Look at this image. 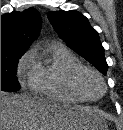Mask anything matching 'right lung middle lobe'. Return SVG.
Returning <instances> with one entry per match:
<instances>
[{"instance_id":"1","label":"right lung middle lobe","mask_w":123,"mask_h":130,"mask_svg":"<svg viewBox=\"0 0 123 130\" xmlns=\"http://www.w3.org/2000/svg\"><path fill=\"white\" fill-rule=\"evenodd\" d=\"M24 53L1 55V90L14 92L20 89L16 78L17 64Z\"/></svg>"}]
</instances>
